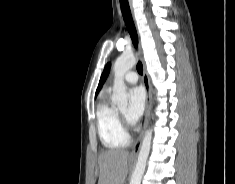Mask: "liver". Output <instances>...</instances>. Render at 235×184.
Returning a JSON list of instances; mask_svg holds the SVG:
<instances>
[{
    "label": "liver",
    "instance_id": "6515ba94",
    "mask_svg": "<svg viewBox=\"0 0 235 184\" xmlns=\"http://www.w3.org/2000/svg\"><path fill=\"white\" fill-rule=\"evenodd\" d=\"M129 152L105 150L98 158L100 176L98 184H122L128 174Z\"/></svg>",
    "mask_w": 235,
    "mask_h": 184
}]
</instances>
